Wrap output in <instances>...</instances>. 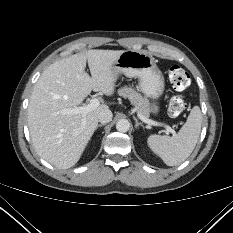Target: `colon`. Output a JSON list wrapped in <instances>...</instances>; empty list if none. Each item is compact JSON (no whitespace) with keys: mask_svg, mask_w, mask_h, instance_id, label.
<instances>
[{"mask_svg":"<svg viewBox=\"0 0 233 233\" xmlns=\"http://www.w3.org/2000/svg\"><path fill=\"white\" fill-rule=\"evenodd\" d=\"M168 77L171 85L179 91L186 89L191 83L189 74L178 65H172L169 68ZM185 108L186 102L181 95H176L171 98L168 109L171 116H179Z\"/></svg>","mask_w":233,"mask_h":233,"instance_id":"obj_1","label":"colon"}]
</instances>
